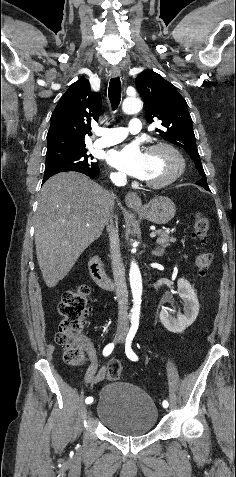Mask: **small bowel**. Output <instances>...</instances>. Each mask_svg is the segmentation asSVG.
<instances>
[{
    "mask_svg": "<svg viewBox=\"0 0 236 477\" xmlns=\"http://www.w3.org/2000/svg\"><path fill=\"white\" fill-rule=\"evenodd\" d=\"M81 343L90 360V365L86 372L87 381L92 384L102 381L107 374V368L98 367L97 351L89 339L83 337Z\"/></svg>",
    "mask_w": 236,
    "mask_h": 477,
    "instance_id": "obj_1",
    "label": "small bowel"
}]
</instances>
